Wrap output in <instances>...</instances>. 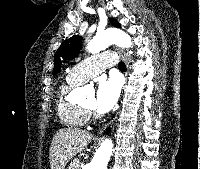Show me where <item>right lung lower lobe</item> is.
<instances>
[{
	"label": "right lung lower lobe",
	"mask_w": 200,
	"mask_h": 169,
	"mask_svg": "<svg viewBox=\"0 0 200 169\" xmlns=\"http://www.w3.org/2000/svg\"><path fill=\"white\" fill-rule=\"evenodd\" d=\"M109 131H110V128H108V129L106 130V133L108 134V133H109Z\"/></svg>",
	"instance_id": "right-lung-lower-lobe-1"
}]
</instances>
